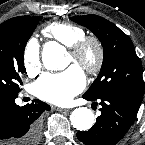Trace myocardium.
I'll use <instances>...</instances> for the list:
<instances>
[{
	"label": "myocardium",
	"mask_w": 145,
	"mask_h": 145,
	"mask_svg": "<svg viewBox=\"0 0 145 145\" xmlns=\"http://www.w3.org/2000/svg\"><path fill=\"white\" fill-rule=\"evenodd\" d=\"M92 47L95 51L93 63H88L83 56L87 48ZM70 55L76 64L81 66L84 71L92 76L98 75L105 61V49L102 41L95 35H84L76 40L70 47Z\"/></svg>",
	"instance_id": "myocardium-1"
}]
</instances>
